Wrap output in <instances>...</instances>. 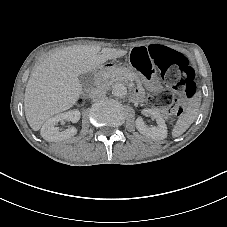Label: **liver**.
Wrapping results in <instances>:
<instances>
[{"mask_svg": "<svg viewBox=\"0 0 227 227\" xmlns=\"http://www.w3.org/2000/svg\"><path fill=\"white\" fill-rule=\"evenodd\" d=\"M124 54L120 50L101 49L96 45H76L38 61L24 96L25 116L30 127L38 131L51 116L76 103L82 92L81 74L100 70L99 65Z\"/></svg>", "mask_w": 227, "mask_h": 227, "instance_id": "liver-1", "label": "liver"}]
</instances>
